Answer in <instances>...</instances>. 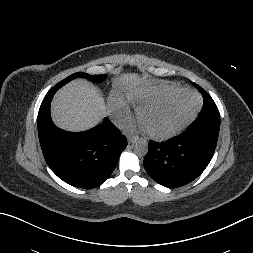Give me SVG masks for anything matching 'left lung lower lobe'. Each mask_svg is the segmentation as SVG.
Listing matches in <instances>:
<instances>
[{
	"mask_svg": "<svg viewBox=\"0 0 253 253\" xmlns=\"http://www.w3.org/2000/svg\"><path fill=\"white\" fill-rule=\"evenodd\" d=\"M220 115H199L179 136L149 142L144 167L159 184L177 188L196 179L208 166L217 144Z\"/></svg>",
	"mask_w": 253,
	"mask_h": 253,
	"instance_id": "left-lung-lower-lobe-1",
	"label": "left lung lower lobe"
}]
</instances>
